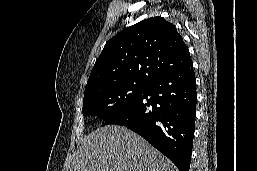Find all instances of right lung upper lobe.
<instances>
[{"instance_id":"right-lung-upper-lobe-1","label":"right lung upper lobe","mask_w":257,"mask_h":171,"mask_svg":"<svg viewBox=\"0 0 257 171\" xmlns=\"http://www.w3.org/2000/svg\"><path fill=\"white\" fill-rule=\"evenodd\" d=\"M190 61L189 50L176 27L162 17L148 18L106 43L85 92L118 83L149 84Z\"/></svg>"}]
</instances>
